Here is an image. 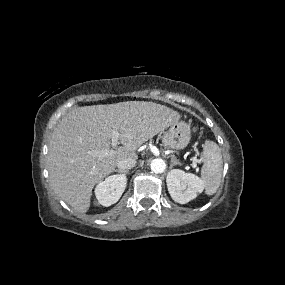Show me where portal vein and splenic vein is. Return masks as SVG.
Masks as SVG:
<instances>
[{"label":"portal vein and splenic vein","instance_id":"obj_1","mask_svg":"<svg viewBox=\"0 0 285 285\" xmlns=\"http://www.w3.org/2000/svg\"><path fill=\"white\" fill-rule=\"evenodd\" d=\"M120 138V133L117 130L112 131V135H111V145L113 148L117 147L118 145V140ZM114 153L113 149L110 150H101L96 152V155L99 159H102L106 156H110ZM193 162H199V160H197L195 157L193 158Z\"/></svg>","mask_w":285,"mask_h":285}]
</instances>
